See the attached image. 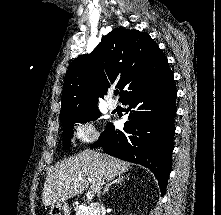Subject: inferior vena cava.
Here are the masks:
<instances>
[{"instance_id": "1", "label": "inferior vena cava", "mask_w": 221, "mask_h": 215, "mask_svg": "<svg viewBox=\"0 0 221 215\" xmlns=\"http://www.w3.org/2000/svg\"><path fill=\"white\" fill-rule=\"evenodd\" d=\"M103 184H104V182L101 181V182L99 183V185H98V188H97V194H98V196H100L101 186H102Z\"/></svg>"}]
</instances>
